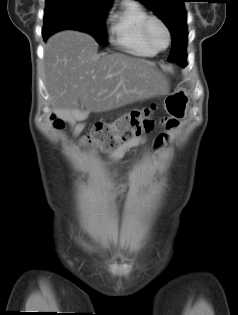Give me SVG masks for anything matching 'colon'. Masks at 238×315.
Returning a JSON list of instances; mask_svg holds the SVG:
<instances>
[{"instance_id": "colon-1", "label": "colon", "mask_w": 238, "mask_h": 315, "mask_svg": "<svg viewBox=\"0 0 238 315\" xmlns=\"http://www.w3.org/2000/svg\"><path fill=\"white\" fill-rule=\"evenodd\" d=\"M152 111L151 108L134 110L118 117L113 122H98L82 142L89 148L107 150L141 136L143 133H148L156 125ZM52 121L57 128H62L64 125L60 119L52 118Z\"/></svg>"}]
</instances>
